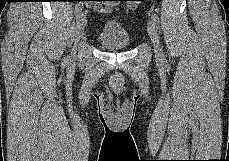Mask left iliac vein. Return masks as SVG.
<instances>
[{"label":"left iliac vein","instance_id":"4c4485c4","mask_svg":"<svg viewBox=\"0 0 229 161\" xmlns=\"http://www.w3.org/2000/svg\"><path fill=\"white\" fill-rule=\"evenodd\" d=\"M147 31H148V35L153 43V47H154V52L156 56H161V47H160V42H159V38H158V33L157 30L155 28V25L152 21H148L147 23Z\"/></svg>","mask_w":229,"mask_h":161}]
</instances>
